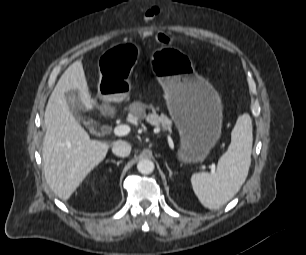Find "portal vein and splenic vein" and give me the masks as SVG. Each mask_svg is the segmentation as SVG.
<instances>
[{
	"mask_svg": "<svg viewBox=\"0 0 306 255\" xmlns=\"http://www.w3.org/2000/svg\"><path fill=\"white\" fill-rule=\"evenodd\" d=\"M129 132H130V127L128 125H119L113 129V133L116 136H125L129 134ZM213 171L214 169H212V172Z\"/></svg>",
	"mask_w": 306,
	"mask_h": 255,
	"instance_id": "18ae733b",
	"label": "portal vein and splenic vein"
}]
</instances>
